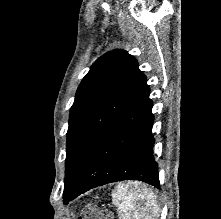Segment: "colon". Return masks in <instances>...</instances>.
<instances>
[{
    "mask_svg": "<svg viewBox=\"0 0 221 219\" xmlns=\"http://www.w3.org/2000/svg\"><path fill=\"white\" fill-rule=\"evenodd\" d=\"M78 219H116L110 213L100 210L95 206H86Z\"/></svg>",
    "mask_w": 221,
    "mask_h": 219,
    "instance_id": "5ec220e1",
    "label": "colon"
}]
</instances>
